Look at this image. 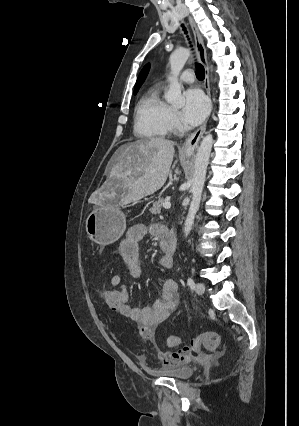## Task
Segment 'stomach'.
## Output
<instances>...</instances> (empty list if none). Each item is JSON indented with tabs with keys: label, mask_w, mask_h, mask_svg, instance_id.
I'll list each match as a JSON object with an SVG mask.
<instances>
[{
	"label": "stomach",
	"mask_w": 299,
	"mask_h": 426,
	"mask_svg": "<svg viewBox=\"0 0 299 426\" xmlns=\"http://www.w3.org/2000/svg\"><path fill=\"white\" fill-rule=\"evenodd\" d=\"M85 228L88 237L104 247L116 242L123 235L126 215L118 205L109 203L98 206L88 215Z\"/></svg>",
	"instance_id": "stomach-1"
}]
</instances>
